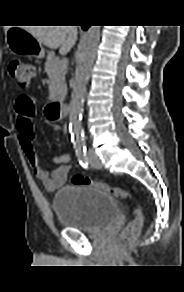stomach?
<instances>
[{"instance_id": "stomach-1", "label": "stomach", "mask_w": 184, "mask_h": 292, "mask_svg": "<svg viewBox=\"0 0 184 292\" xmlns=\"http://www.w3.org/2000/svg\"><path fill=\"white\" fill-rule=\"evenodd\" d=\"M5 40L14 55H29L37 59L44 57L42 44L23 28L11 27L6 33Z\"/></svg>"}]
</instances>
